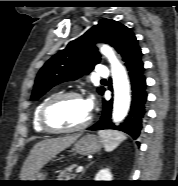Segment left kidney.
<instances>
[{
  "instance_id": "left-kidney-1",
  "label": "left kidney",
  "mask_w": 178,
  "mask_h": 186,
  "mask_svg": "<svg viewBox=\"0 0 178 186\" xmlns=\"http://www.w3.org/2000/svg\"><path fill=\"white\" fill-rule=\"evenodd\" d=\"M113 176L110 172V169L105 168L100 170L96 176H95V181H112Z\"/></svg>"
}]
</instances>
